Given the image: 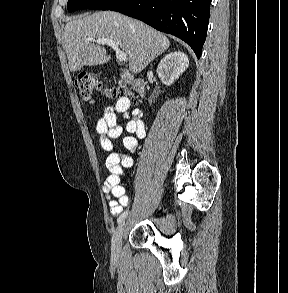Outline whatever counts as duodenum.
<instances>
[{"label": "duodenum", "mask_w": 288, "mask_h": 293, "mask_svg": "<svg viewBox=\"0 0 288 293\" xmlns=\"http://www.w3.org/2000/svg\"><path fill=\"white\" fill-rule=\"evenodd\" d=\"M122 80L126 83H129L133 86V88L143 96L145 93V83L141 79H136L131 74V72L127 69H123L121 72Z\"/></svg>", "instance_id": "410a0bca"}]
</instances>
